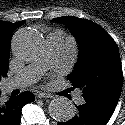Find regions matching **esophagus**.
I'll return each instance as SVG.
<instances>
[{
	"label": "esophagus",
	"instance_id": "esophagus-1",
	"mask_svg": "<svg viewBox=\"0 0 125 125\" xmlns=\"http://www.w3.org/2000/svg\"><path fill=\"white\" fill-rule=\"evenodd\" d=\"M38 98H53V96L49 93L46 92H40L37 94Z\"/></svg>",
	"mask_w": 125,
	"mask_h": 125
}]
</instances>
